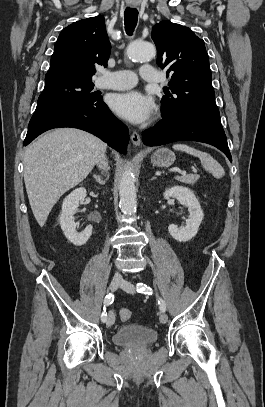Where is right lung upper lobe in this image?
Instances as JSON below:
<instances>
[{"mask_svg":"<svg viewBox=\"0 0 265 407\" xmlns=\"http://www.w3.org/2000/svg\"><path fill=\"white\" fill-rule=\"evenodd\" d=\"M110 51L103 16L77 21L60 33L45 81H91L95 74L94 64L106 66Z\"/></svg>","mask_w":265,"mask_h":407,"instance_id":"1","label":"right lung upper lobe"}]
</instances>
